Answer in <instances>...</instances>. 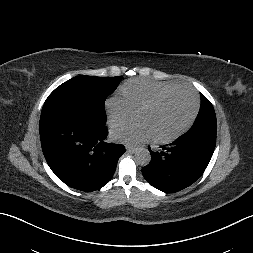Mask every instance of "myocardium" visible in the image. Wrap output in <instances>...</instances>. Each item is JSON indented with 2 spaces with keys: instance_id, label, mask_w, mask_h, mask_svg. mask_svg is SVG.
Instances as JSON below:
<instances>
[{
  "instance_id": "1",
  "label": "myocardium",
  "mask_w": 253,
  "mask_h": 253,
  "mask_svg": "<svg viewBox=\"0 0 253 253\" xmlns=\"http://www.w3.org/2000/svg\"><path fill=\"white\" fill-rule=\"evenodd\" d=\"M176 92H186V93L190 94V96L192 97V99L194 101V110H193L190 118L188 119V121L182 127H180L178 130H176L175 132H173L172 134L167 135V136L154 137V141L157 143L171 142V141L177 139L183 133H185L192 126V124L194 123V121L198 115L199 107H200V102H199L197 95L195 94V92L193 90H191L187 87L177 86V87L167 89V90H164V91L158 93L150 101H148L146 104H144L138 110V112H140L143 110L151 109L154 106H156L163 98H165L166 96H168L170 94L176 93Z\"/></svg>"
}]
</instances>
